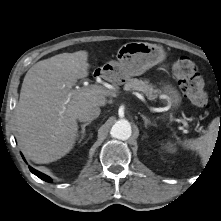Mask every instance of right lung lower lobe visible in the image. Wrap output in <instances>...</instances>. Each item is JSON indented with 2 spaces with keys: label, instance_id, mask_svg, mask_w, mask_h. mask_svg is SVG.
Masks as SVG:
<instances>
[{
  "label": "right lung lower lobe",
  "instance_id": "obj_1",
  "mask_svg": "<svg viewBox=\"0 0 221 221\" xmlns=\"http://www.w3.org/2000/svg\"><path fill=\"white\" fill-rule=\"evenodd\" d=\"M30 171L35 174L37 177H39L40 179L44 180V181H47V182H51V179L49 176L33 169L32 167H29Z\"/></svg>",
  "mask_w": 221,
  "mask_h": 221
}]
</instances>
